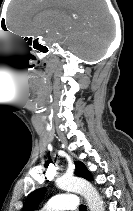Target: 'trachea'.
<instances>
[{"label": "trachea", "mask_w": 133, "mask_h": 211, "mask_svg": "<svg viewBox=\"0 0 133 211\" xmlns=\"http://www.w3.org/2000/svg\"><path fill=\"white\" fill-rule=\"evenodd\" d=\"M79 211H86V206L85 205H81L79 208Z\"/></svg>", "instance_id": "obj_1"}]
</instances>
